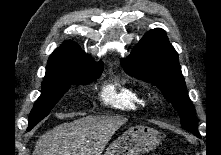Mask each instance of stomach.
Wrapping results in <instances>:
<instances>
[{
  "mask_svg": "<svg viewBox=\"0 0 221 155\" xmlns=\"http://www.w3.org/2000/svg\"><path fill=\"white\" fill-rule=\"evenodd\" d=\"M160 143L159 133L146 126H134L110 144L103 155H142Z\"/></svg>",
  "mask_w": 221,
  "mask_h": 155,
  "instance_id": "0dacf381",
  "label": "stomach"
}]
</instances>
